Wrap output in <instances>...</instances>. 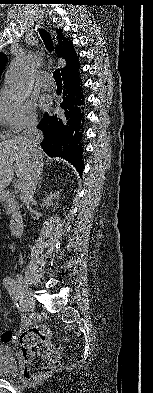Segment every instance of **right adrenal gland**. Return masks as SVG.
Listing matches in <instances>:
<instances>
[{"mask_svg":"<svg viewBox=\"0 0 153 393\" xmlns=\"http://www.w3.org/2000/svg\"><path fill=\"white\" fill-rule=\"evenodd\" d=\"M41 181H42V178L40 179L39 184H38V191L41 188Z\"/></svg>","mask_w":153,"mask_h":393,"instance_id":"2a0ac1e0","label":"right adrenal gland"}]
</instances>
